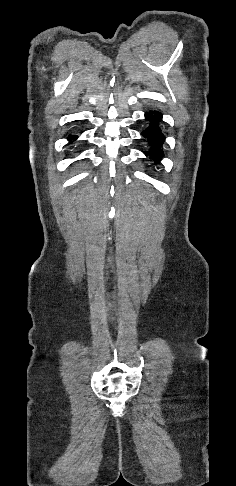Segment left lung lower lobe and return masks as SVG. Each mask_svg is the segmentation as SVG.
<instances>
[{"label": "left lung lower lobe", "instance_id": "left-lung-lower-lobe-1", "mask_svg": "<svg viewBox=\"0 0 236 486\" xmlns=\"http://www.w3.org/2000/svg\"><path fill=\"white\" fill-rule=\"evenodd\" d=\"M145 118L150 122L149 127L141 133L150 144V149L145 154L149 155L155 164H157L163 157L161 147L165 139L159 127V123L162 121V114L158 111H150L146 112Z\"/></svg>", "mask_w": 236, "mask_h": 486}]
</instances>
